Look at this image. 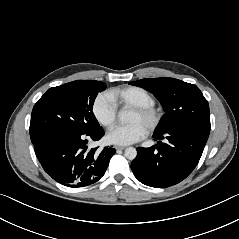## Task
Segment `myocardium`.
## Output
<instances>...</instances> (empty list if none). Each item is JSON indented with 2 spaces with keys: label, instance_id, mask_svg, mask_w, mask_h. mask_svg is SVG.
I'll return each instance as SVG.
<instances>
[{
  "label": "myocardium",
  "instance_id": "f54148a6",
  "mask_svg": "<svg viewBox=\"0 0 239 239\" xmlns=\"http://www.w3.org/2000/svg\"><path fill=\"white\" fill-rule=\"evenodd\" d=\"M133 111L145 116L148 121L147 131H154L160 124L161 113L154 106H137L133 108Z\"/></svg>",
  "mask_w": 239,
  "mask_h": 239
}]
</instances>
